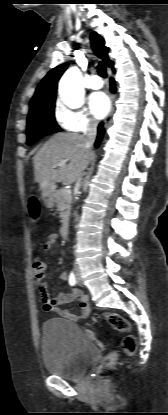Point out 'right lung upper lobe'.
Returning a JSON list of instances; mask_svg holds the SVG:
<instances>
[{"instance_id": "1", "label": "right lung upper lobe", "mask_w": 168, "mask_h": 415, "mask_svg": "<svg viewBox=\"0 0 168 415\" xmlns=\"http://www.w3.org/2000/svg\"><path fill=\"white\" fill-rule=\"evenodd\" d=\"M90 38L95 54L103 59L107 67L114 69L113 62L108 58V48L105 46L104 39L96 32H92ZM67 67L68 63H63L53 68L42 79L30 102V111L55 102L57 82Z\"/></svg>"}]
</instances>
